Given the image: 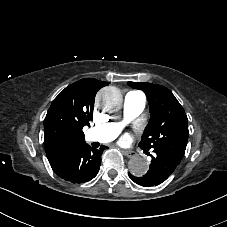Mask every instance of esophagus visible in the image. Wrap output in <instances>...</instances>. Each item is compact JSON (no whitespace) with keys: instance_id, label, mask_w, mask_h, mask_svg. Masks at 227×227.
I'll return each instance as SVG.
<instances>
[{"instance_id":"34e87169","label":"esophagus","mask_w":227,"mask_h":227,"mask_svg":"<svg viewBox=\"0 0 227 227\" xmlns=\"http://www.w3.org/2000/svg\"><path fill=\"white\" fill-rule=\"evenodd\" d=\"M122 152L124 153L125 156H127L128 158H133L135 157L137 154L134 151L131 150H126V149H122Z\"/></svg>"}]
</instances>
